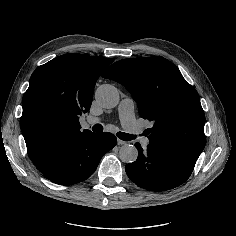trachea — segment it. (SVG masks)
<instances>
[{"label": "trachea", "instance_id": "obj_1", "mask_svg": "<svg viewBox=\"0 0 236 236\" xmlns=\"http://www.w3.org/2000/svg\"><path fill=\"white\" fill-rule=\"evenodd\" d=\"M91 128L94 132H102L104 130L103 125H101L99 123L93 125ZM116 135L119 139H121L123 141H129V140L133 139V135H130V134L124 133V132H117Z\"/></svg>", "mask_w": 236, "mask_h": 236}]
</instances>
